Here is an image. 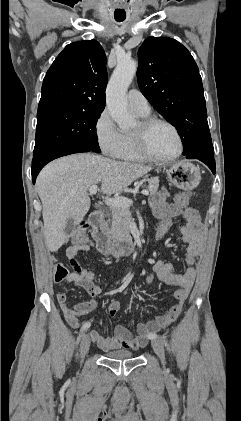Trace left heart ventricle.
Returning a JSON list of instances; mask_svg holds the SVG:
<instances>
[{
  "label": "left heart ventricle",
  "instance_id": "left-heart-ventricle-1",
  "mask_svg": "<svg viewBox=\"0 0 241 421\" xmlns=\"http://www.w3.org/2000/svg\"><path fill=\"white\" fill-rule=\"evenodd\" d=\"M147 144L151 153L158 158H168L174 155L178 149L175 133L163 124L155 125L150 129Z\"/></svg>",
  "mask_w": 241,
  "mask_h": 421
}]
</instances>
